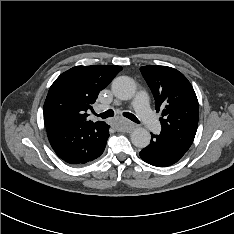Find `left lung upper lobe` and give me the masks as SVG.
Returning <instances> with one entry per match:
<instances>
[{"label": "left lung upper lobe", "instance_id": "5c2ea615", "mask_svg": "<svg viewBox=\"0 0 234 234\" xmlns=\"http://www.w3.org/2000/svg\"><path fill=\"white\" fill-rule=\"evenodd\" d=\"M140 70L153 93L157 112L162 111L161 133L187 151L199 119L198 100L192 85L171 67L148 65Z\"/></svg>", "mask_w": 234, "mask_h": 234}]
</instances>
